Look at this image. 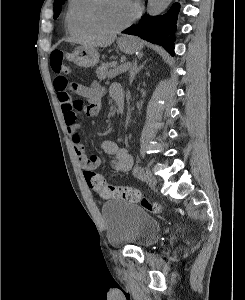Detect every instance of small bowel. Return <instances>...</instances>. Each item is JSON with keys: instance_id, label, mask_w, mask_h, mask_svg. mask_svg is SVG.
I'll use <instances>...</instances> for the list:
<instances>
[{"instance_id": "small-bowel-1", "label": "small bowel", "mask_w": 245, "mask_h": 300, "mask_svg": "<svg viewBox=\"0 0 245 300\" xmlns=\"http://www.w3.org/2000/svg\"><path fill=\"white\" fill-rule=\"evenodd\" d=\"M54 89L63 113L64 122L67 126L68 134L72 142L74 152L83 169L85 179L89 173H96L95 170L100 164L96 155L88 154L81 139L82 125L77 120L78 111H84L88 116H98L102 109L104 90L97 83L92 86H84L70 82L67 78L58 75L54 80ZM116 92H122L121 88L114 85L110 88V94L114 98ZM78 97L84 103L82 109L78 110L74 106L76 100L72 96ZM101 150L113 157L110 169L114 172H127L133 165L132 156L125 148L120 147L112 140H103L100 143Z\"/></svg>"}]
</instances>
